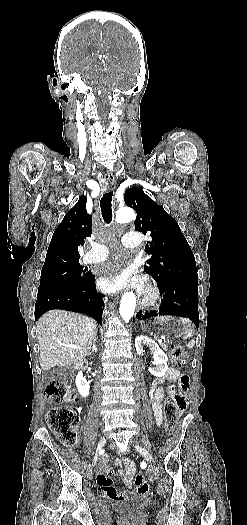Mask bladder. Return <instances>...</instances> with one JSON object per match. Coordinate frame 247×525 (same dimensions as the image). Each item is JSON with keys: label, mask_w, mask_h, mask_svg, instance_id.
<instances>
[{"label": "bladder", "mask_w": 247, "mask_h": 525, "mask_svg": "<svg viewBox=\"0 0 247 525\" xmlns=\"http://www.w3.org/2000/svg\"><path fill=\"white\" fill-rule=\"evenodd\" d=\"M154 504V499L146 495H137L132 499L116 502L112 509L120 514H131L150 508Z\"/></svg>", "instance_id": "obj_1"}]
</instances>
